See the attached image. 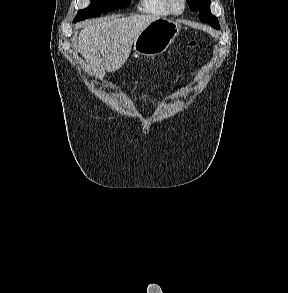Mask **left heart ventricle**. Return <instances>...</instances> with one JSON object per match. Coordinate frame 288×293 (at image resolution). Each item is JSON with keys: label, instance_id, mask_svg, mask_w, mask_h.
I'll return each mask as SVG.
<instances>
[{"label": "left heart ventricle", "instance_id": "obj_1", "mask_svg": "<svg viewBox=\"0 0 288 293\" xmlns=\"http://www.w3.org/2000/svg\"><path fill=\"white\" fill-rule=\"evenodd\" d=\"M174 5L177 9L180 8V3L177 0L174 1Z\"/></svg>", "mask_w": 288, "mask_h": 293}]
</instances>
